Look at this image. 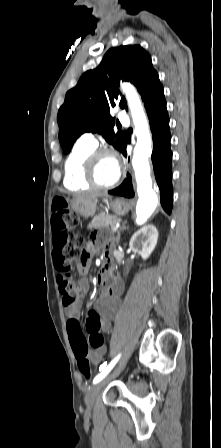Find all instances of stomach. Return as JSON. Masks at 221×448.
Listing matches in <instances>:
<instances>
[{
  "label": "stomach",
  "instance_id": "1",
  "mask_svg": "<svg viewBox=\"0 0 221 448\" xmlns=\"http://www.w3.org/2000/svg\"><path fill=\"white\" fill-rule=\"evenodd\" d=\"M103 201L108 205V207L118 216L126 214L130 208V203L122 198L113 199L110 196L104 197ZM97 201H92L86 204H74V210L81 216L88 218L92 216L96 211Z\"/></svg>",
  "mask_w": 221,
  "mask_h": 448
}]
</instances>
